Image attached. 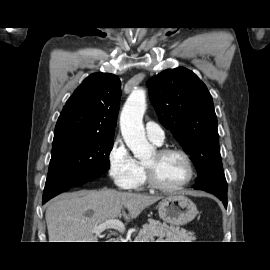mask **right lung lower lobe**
I'll use <instances>...</instances> for the list:
<instances>
[{"label":"right lung lower lobe","mask_w":270,"mask_h":270,"mask_svg":"<svg viewBox=\"0 0 270 270\" xmlns=\"http://www.w3.org/2000/svg\"><path fill=\"white\" fill-rule=\"evenodd\" d=\"M92 180H94V179H92ZM89 181H91V180H83V181H79V182H74L67 175L64 176V177H55V178H52V179H47L46 180V184H45V189H44V194H43V200H42V202L44 204L48 200H50L52 197L58 195V194H51V195L47 194L45 192V190L48 188V185L59 183V184H61L64 187V190L67 191L71 187L78 186V185H83V184H85V183H87Z\"/></svg>","instance_id":"1"}]
</instances>
